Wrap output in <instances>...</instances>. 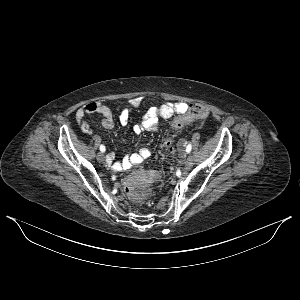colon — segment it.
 <instances>
[{"label":"colon","instance_id":"5ec220e1","mask_svg":"<svg viewBox=\"0 0 300 300\" xmlns=\"http://www.w3.org/2000/svg\"><path fill=\"white\" fill-rule=\"evenodd\" d=\"M208 113L206 106L194 103L176 118L174 124L176 127H181L191 122L203 121L207 118ZM166 146L171 148V138L166 140ZM160 179L161 176L157 172L134 173L125 180L124 189L129 198L134 201H140L149 195V184L151 182L157 183Z\"/></svg>","mask_w":300,"mask_h":300}]
</instances>
